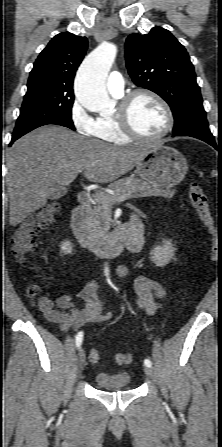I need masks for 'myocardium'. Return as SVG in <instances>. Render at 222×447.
<instances>
[{"mask_svg": "<svg viewBox=\"0 0 222 447\" xmlns=\"http://www.w3.org/2000/svg\"><path fill=\"white\" fill-rule=\"evenodd\" d=\"M140 95H146L154 99L161 106L165 113V126L157 135H142L135 130L131 123L130 109L134 100ZM115 118L123 134L128 138L139 142L158 141L168 135L174 126V115L169 104L158 93L147 88H139L124 95V97L121 99Z\"/></svg>", "mask_w": 222, "mask_h": 447, "instance_id": "f54148a6", "label": "myocardium"}]
</instances>
